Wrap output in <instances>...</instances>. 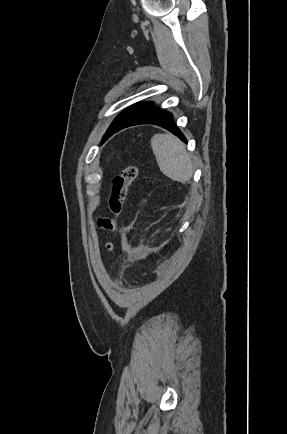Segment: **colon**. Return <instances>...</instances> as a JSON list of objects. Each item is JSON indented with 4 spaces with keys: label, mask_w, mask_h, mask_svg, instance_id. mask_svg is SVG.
<instances>
[{
    "label": "colon",
    "mask_w": 287,
    "mask_h": 434,
    "mask_svg": "<svg viewBox=\"0 0 287 434\" xmlns=\"http://www.w3.org/2000/svg\"><path fill=\"white\" fill-rule=\"evenodd\" d=\"M137 176L138 168L133 164H127L112 179L106 202V212L97 217L98 228L105 234L103 246L107 252L112 250L110 235L114 230V219L120 214L128 190Z\"/></svg>",
    "instance_id": "colon-1"
}]
</instances>
